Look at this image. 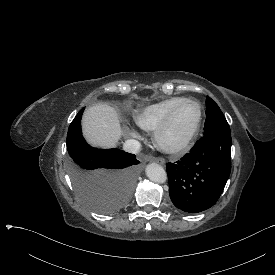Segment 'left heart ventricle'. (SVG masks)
<instances>
[{"label": "left heart ventricle", "mask_w": 275, "mask_h": 275, "mask_svg": "<svg viewBox=\"0 0 275 275\" xmlns=\"http://www.w3.org/2000/svg\"><path fill=\"white\" fill-rule=\"evenodd\" d=\"M197 117V107L193 103H184L178 106L170 133L172 139L183 137L192 127Z\"/></svg>", "instance_id": "obj_1"}]
</instances>
